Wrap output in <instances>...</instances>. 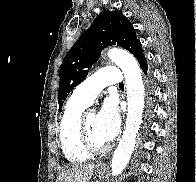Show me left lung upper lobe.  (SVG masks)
I'll return each instance as SVG.
<instances>
[{
    "instance_id": "1",
    "label": "left lung upper lobe",
    "mask_w": 196,
    "mask_h": 182,
    "mask_svg": "<svg viewBox=\"0 0 196 182\" xmlns=\"http://www.w3.org/2000/svg\"><path fill=\"white\" fill-rule=\"evenodd\" d=\"M112 44L127 49L138 61L144 56L134 27L119 10L103 11L98 15L66 54L60 67L59 111L68 94L86 78L101 51Z\"/></svg>"
}]
</instances>
